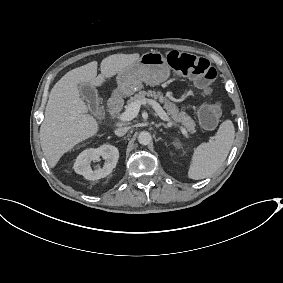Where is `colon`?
<instances>
[{
  "instance_id": "5ec220e1",
  "label": "colon",
  "mask_w": 283,
  "mask_h": 283,
  "mask_svg": "<svg viewBox=\"0 0 283 283\" xmlns=\"http://www.w3.org/2000/svg\"><path fill=\"white\" fill-rule=\"evenodd\" d=\"M167 61L178 74L193 78L196 84L206 92L211 90L216 78V70L207 59L184 52L171 51L167 56ZM220 111L218 103L203 104L198 110L201 124L207 129L215 127Z\"/></svg>"
}]
</instances>
